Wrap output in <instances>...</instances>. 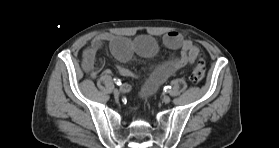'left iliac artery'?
<instances>
[{
  "instance_id": "1",
  "label": "left iliac artery",
  "mask_w": 279,
  "mask_h": 148,
  "mask_svg": "<svg viewBox=\"0 0 279 148\" xmlns=\"http://www.w3.org/2000/svg\"><path fill=\"white\" fill-rule=\"evenodd\" d=\"M170 89H171V86H165V87H164V91H165V92H169Z\"/></svg>"
}]
</instances>
